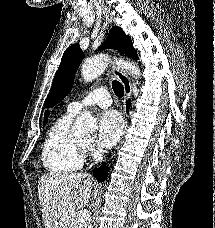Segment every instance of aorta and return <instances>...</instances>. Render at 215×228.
<instances>
[{"label":"aorta","instance_id":"1","mask_svg":"<svg viewBox=\"0 0 215 228\" xmlns=\"http://www.w3.org/2000/svg\"><path fill=\"white\" fill-rule=\"evenodd\" d=\"M108 56H99V58H92V60H85L82 64L81 74L85 82H92L95 78H98L102 72H104L107 66ZM126 68H130L134 76H139L140 70L137 66H132L128 64ZM73 132H84V134H94L96 132V126H94V118L91 116L90 112H82L72 128Z\"/></svg>","mask_w":215,"mask_h":228}]
</instances>
